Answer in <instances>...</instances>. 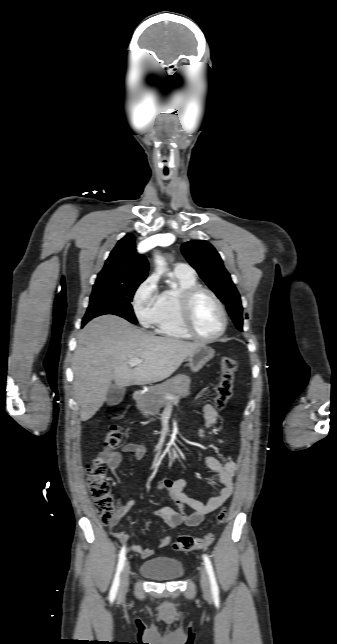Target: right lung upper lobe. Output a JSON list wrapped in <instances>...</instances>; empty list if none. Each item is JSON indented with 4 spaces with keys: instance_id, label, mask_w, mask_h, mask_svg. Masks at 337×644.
Returning a JSON list of instances; mask_svg holds the SVG:
<instances>
[{
    "instance_id": "1",
    "label": "right lung upper lobe",
    "mask_w": 337,
    "mask_h": 644,
    "mask_svg": "<svg viewBox=\"0 0 337 644\" xmlns=\"http://www.w3.org/2000/svg\"><path fill=\"white\" fill-rule=\"evenodd\" d=\"M135 237L127 234L110 253L95 285L143 282L148 274L146 258L136 252Z\"/></svg>"
}]
</instances>
